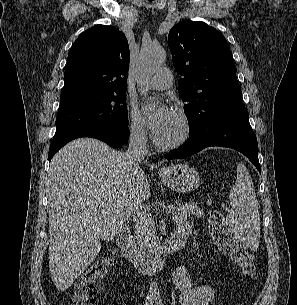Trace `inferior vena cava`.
<instances>
[{
	"label": "inferior vena cava",
	"mask_w": 297,
	"mask_h": 305,
	"mask_svg": "<svg viewBox=\"0 0 297 305\" xmlns=\"http://www.w3.org/2000/svg\"><path fill=\"white\" fill-rule=\"evenodd\" d=\"M142 128L131 130L128 150L124 153L126 165L133 171L139 170V164L145 158L147 136Z\"/></svg>",
	"instance_id": "inferior-vena-cava-1"
}]
</instances>
